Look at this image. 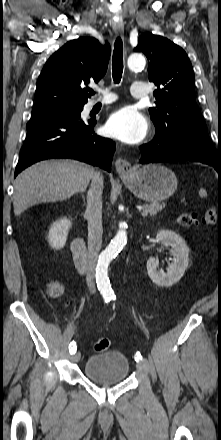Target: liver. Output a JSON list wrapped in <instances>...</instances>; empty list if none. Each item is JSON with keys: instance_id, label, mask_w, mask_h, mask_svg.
I'll list each match as a JSON object with an SVG mask.
<instances>
[{"instance_id": "liver-1", "label": "liver", "mask_w": 221, "mask_h": 440, "mask_svg": "<svg viewBox=\"0 0 221 440\" xmlns=\"http://www.w3.org/2000/svg\"><path fill=\"white\" fill-rule=\"evenodd\" d=\"M93 175V167L74 160L36 163L14 182V213L18 216L33 205L66 200L84 191Z\"/></svg>"}]
</instances>
